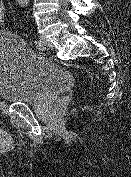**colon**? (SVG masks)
I'll list each match as a JSON object with an SVG mask.
<instances>
[{
	"instance_id": "colon-1",
	"label": "colon",
	"mask_w": 131,
	"mask_h": 177,
	"mask_svg": "<svg viewBox=\"0 0 131 177\" xmlns=\"http://www.w3.org/2000/svg\"><path fill=\"white\" fill-rule=\"evenodd\" d=\"M5 16V2L4 0H0V22L3 21Z\"/></svg>"
}]
</instances>
